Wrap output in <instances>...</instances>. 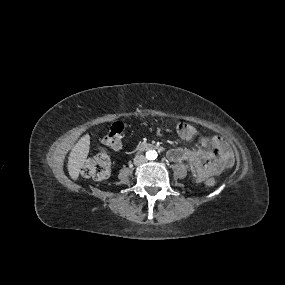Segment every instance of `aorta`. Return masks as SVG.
<instances>
[{"label":"aorta","mask_w":285,"mask_h":285,"mask_svg":"<svg viewBox=\"0 0 285 285\" xmlns=\"http://www.w3.org/2000/svg\"><path fill=\"white\" fill-rule=\"evenodd\" d=\"M158 154L155 150H148L146 152V158L148 160H155L157 158Z\"/></svg>","instance_id":"1"}]
</instances>
